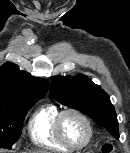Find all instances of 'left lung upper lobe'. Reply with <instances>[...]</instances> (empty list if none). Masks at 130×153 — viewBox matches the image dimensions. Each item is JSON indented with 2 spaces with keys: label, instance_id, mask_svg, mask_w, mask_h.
<instances>
[{
  "label": "left lung upper lobe",
  "instance_id": "left-lung-upper-lobe-1",
  "mask_svg": "<svg viewBox=\"0 0 130 153\" xmlns=\"http://www.w3.org/2000/svg\"><path fill=\"white\" fill-rule=\"evenodd\" d=\"M50 93L61 104L87 114L119 138L117 115L109 96L87 76H59L52 82Z\"/></svg>",
  "mask_w": 130,
  "mask_h": 153
}]
</instances>
